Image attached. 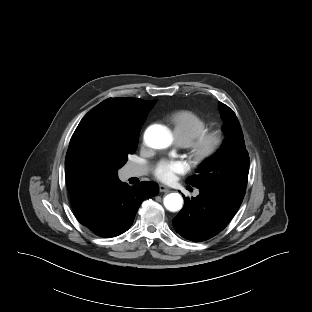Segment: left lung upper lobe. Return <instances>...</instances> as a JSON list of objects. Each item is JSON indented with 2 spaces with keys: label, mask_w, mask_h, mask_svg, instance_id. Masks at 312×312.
I'll list each match as a JSON object with an SVG mask.
<instances>
[{
  "label": "left lung upper lobe",
  "mask_w": 312,
  "mask_h": 312,
  "mask_svg": "<svg viewBox=\"0 0 312 312\" xmlns=\"http://www.w3.org/2000/svg\"><path fill=\"white\" fill-rule=\"evenodd\" d=\"M226 138L214 156L197 169V175L187 183L197 188H210L226 194L234 203L241 205L247 186L249 156L243 132L235 113L220 103Z\"/></svg>",
  "instance_id": "obj_1"
}]
</instances>
